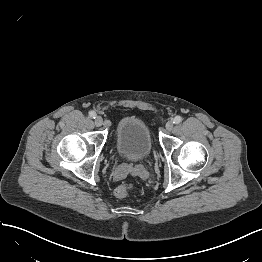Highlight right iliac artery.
Segmentation results:
<instances>
[{
	"mask_svg": "<svg viewBox=\"0 0 262 262\" xmlns=\"http://www.w3.org/2000/svg\"><path fill=\"white\" fill-rule=\"evenodd\" d=\"M89 116H90L91 118H95V117H96V113H95L94 111H90V112H89Z\"/></svg>",
	"mask_w": 262,
	"mask_h": 262,
	"instance_id": "1",
	"label": "right iliac artery"
}]
</instances>
